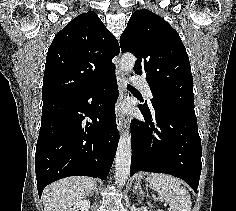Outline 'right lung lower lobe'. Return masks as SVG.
Here are the masks:
<instances>
[{
  "label": "right lung lower lobe",
  "mask_w": 236,
  "mask_h": 211,
  "mask_svg": "<svg viewBox=\"0 0 236 211\" xmlns=\"http://www.w3.org/2000/svg\"><path fill=\"white\" fill-rule=\"evenodd\" d=\"M117 97L114 73L89 91L43 101L35 153L39 197L45 186L64 177L107 178L119 141Z\"/></svg>",
  "instance_id": "98d812e1"
}]
</instances>
